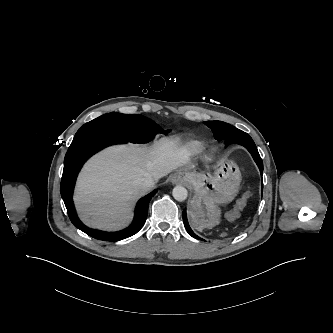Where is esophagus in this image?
<instances>
[{"label":"esophagus","mask_w":333,"mask_h":333,"mask_svg":"<svg viewBox=\"0 0 333 333\" xmlns=\"http://www.w3.org/2000/svg\"><path fill=\"white\" fill-rule=\"evenodd\" d=\"M184 180V177L180 174H175L173 177H172V183L174 184H177V183H180V182H183Z\"/></svg>","instance_id":"34e87169"}]
</instances>
